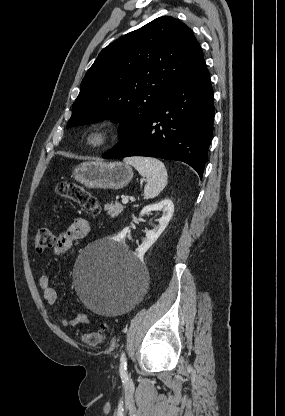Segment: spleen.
I'll list each match as a JSON object with an SVG mask.
<instances>
[{
    "mask_svg": "<svg viewBox=\"0 0 285 416\" xmlns=\"http://www.w3.org/2000/svg\"><path fill=\"white\" fill-rule=\"evenodd\" d=\"M123 162H125V164H130V166H133L143 178H147V184L144 188L146 200L156 198V196L161 194L165 186H167V170L160 160L134 156V158H124Z\"/></svg>",
    "mask_w": 285,
    "mask_h": 416,
    "instance_id": "spleen-1",
    "label": "spleen"
}]
</instances>
